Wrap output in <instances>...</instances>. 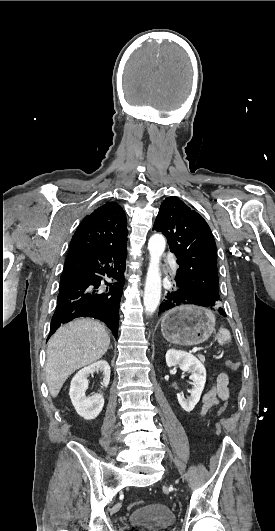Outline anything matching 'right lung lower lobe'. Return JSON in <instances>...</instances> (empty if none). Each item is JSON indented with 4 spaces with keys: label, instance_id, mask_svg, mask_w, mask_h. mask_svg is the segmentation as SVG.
Masks as SVG:
<instances>
[{
    "label": "right lung lower lobe",
    "instance_id": "obj_1",
    "mask_svg": "<svg viewBox=\"0 0 275 531\" xmlns=\"http://www.w3.org/2000/svg\"><path fill=\"white\" fill-rule=\"evenodd\" d=\"M126 256L123 245L67 257L48 339L61 324L77 317L99 319L117 337Z\"/></svg>",
    "mask_w": 275,
    "mask_h": 531
}]
</instances>
